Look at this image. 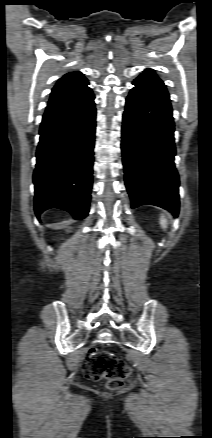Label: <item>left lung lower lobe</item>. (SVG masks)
<instances>
[{
    "label": "left lung lower lobe",
    "instance_id": "1",
    "mask_svg": "<svg viewBox=\"0 0 212 438\" xmlns=\"http://www.w3.org/2000/svg\"><path fill=\"white\" fill-rule=\"evenodd\" d=\"M126 99L122 126L125 185L132 208L155 205L179 212V176L174 164V122L164 83L138 77Z\"/></svg>",
    "mask_w": 212,
    "mask_h": 438
}]
</instances>
